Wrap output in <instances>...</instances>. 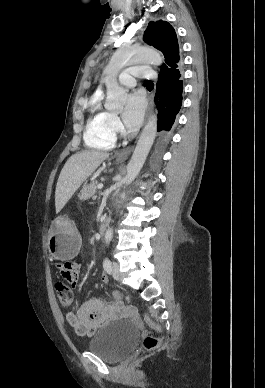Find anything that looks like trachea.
<instances>
[{
  "label": "trachea",
  "instance_id": "3493384b",
  "mask_svg": "<svg viewBox=\"0 0 265 388\" xmlns=\"http://www.w3.org/2000/svg\"><path fill=\"white\" fill-rule=\"evenodd\" d=\"M145 83H146V84H152V82H150V80H146Z\"/></svg>",
  "mask_w": 265,
  "mask_h": 388
}]
</instances>
